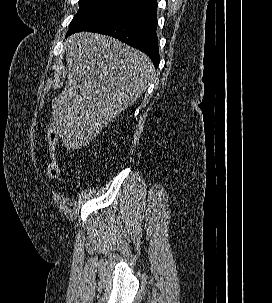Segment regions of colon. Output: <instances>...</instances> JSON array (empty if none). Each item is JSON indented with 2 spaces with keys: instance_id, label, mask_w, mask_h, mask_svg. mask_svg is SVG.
Returning a JSON list of instances; mask_svg holds the SVG:
<instances>
[{
  "instance_id": "obj_1",
  "label": "colon",
  "mask_w": 272,
  "mask_h": 303,
  "mask_svg": "<svg viewBox=\"0 0 272 303\" xmlns=\"http://www.w3.org/2000/svg\"><path fill=\"white\" fill-rule=\"evenodd\" d=\"M47 140L49 147V159L46 164L45 172L46 176L55 180L60 175V167L56 158V148L59 143V133L55 126L51 125L47 132Z\"/></svg>"
}]
</instances>
